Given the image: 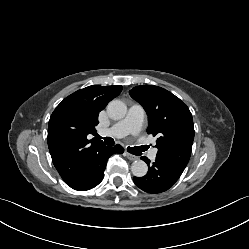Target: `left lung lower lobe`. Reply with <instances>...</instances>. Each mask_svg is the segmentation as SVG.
Returning <instances> with one entry per match:
<instances>
[{
	"label": "left lung lower lobe",
	"instance_id": "0a47b994",
	"mask_svg": "<svg viewBox=\"0 0 249 249\" xmlns=\"http://www.w3.org/2000/svg\"><path fill=\"white\" fill-rule=\"evenodd\" d=\"M142 159L148 164V172L144 177H133L134 183L148 193H161L168 190L179 179L185 168L156 158L153 165L146 157Z\"/></svg>",
	"mask_w": 249,
	"mask_h": 249
}]
</instances>
